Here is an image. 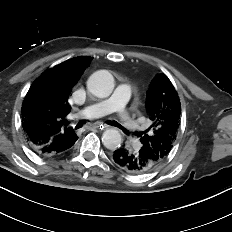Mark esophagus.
Instances as JSON below:
<instances>
[{
	"label": "esophagus",
	"instance_id": "esophagus-1",
	"mask_svg": "<svg viewBox=\"0 0 232 232\" xmlns=\"http://www.w3.org/2000/svg\"><path fill=\"white\" fill-rule=\"evenodd\" d=\"M92 127H93V128H97V129L103 130V129L108 128L109 126L106 125V124H97V123H96V124H93Z\"/></svg>",
	"mask_w": 232,
	"mask_h": 232
}]
</instances>
